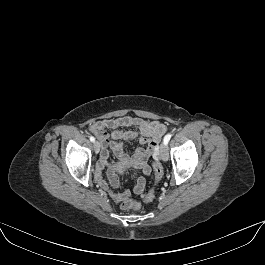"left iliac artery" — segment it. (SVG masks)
<instances>
[{"mask_svg":"<svg viewBox=\"0 0 265 265\" xmlns=\"http://www.w3.org/2000/svg\"><path fill=\"white\" fill-rule=\"evenodd\" d=\"M171 137H172L171 134H167V135L164 137L163 142H164L165 145L168 144V142H169V140L171 139Z\"/></svg>","mask_w":265,"mask_h":265,"instance_id":"left-iliac-artery-1","label":"left iliac artery"}]
</instances>
